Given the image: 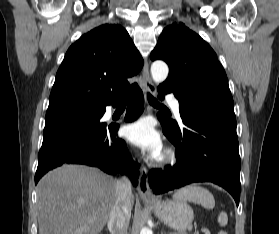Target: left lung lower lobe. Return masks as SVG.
Masks as SVG:
<instances>
[{"label":"left lung lower lobe","instance_id":"left-lung-lower-lobe-1","mask_svg":"<svg viewBox=\"0 0 279 234\" xmlns=\"http://www.w3.org/2000/svg\"><path fill=\"white\" fill-rule=\"evenodd\" d=\"M159 99L173 92L179 100L180 127L158 118L166 137L175 145L177 163L164 171L149 173V184L155 194L193 182H213L225 188L238 206L240 198V156L234 110L181 100L172 86L158 87Z\"/></svg>","mask_w":279,"mask_h":234}]
</instances>
